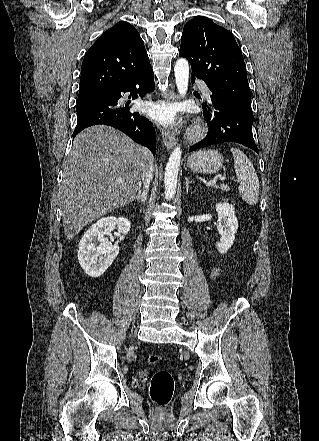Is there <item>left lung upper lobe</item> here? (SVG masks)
Masks as SVG:
<instances>
[{
    "label": "left lung upper lobe",
    "instance_id": "obj_1",
    "mask_svg": "<svg viewBox=\"0 0 319 441\" xmlns=\"http://www.w3.org/2000/svg\"><path fill=\"white\" fill-rule=\"evenodd\" d=\"M179 56L188 59L191 76L203 79L212 96L253 114L244 59L232 33L197 16L184 26Z\"/></svg>",
    "mask_w": 319,
    "mask_h": 441
}]
</instances>
